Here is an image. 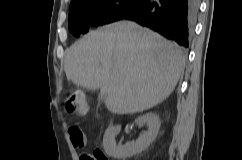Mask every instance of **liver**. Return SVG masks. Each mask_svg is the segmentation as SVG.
I'll return each instance as SVG.
<instances>
[{
    "label": "liver",
    "mask_w": 242,
    "mask_h": 160,
    "mask_svg": "<svg viewBox=\"0 0 242 160\" xmlns=\"http://www.w3.org/2000/svg\"><path fill=\"white\" fill-rule=\"evenodd\" d=\"M185 67L183 49L131 21L109 24L74 43L64 60L66 77L100 89L107 109L133 114L164 101Z\"/></svg>",
    "instance_id": "6515ba94"
}]
</instances>
